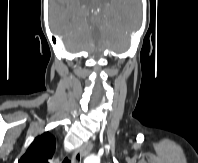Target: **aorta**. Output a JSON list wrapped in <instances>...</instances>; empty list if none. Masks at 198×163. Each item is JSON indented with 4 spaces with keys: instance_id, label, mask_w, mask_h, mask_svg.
<instances>
[{
    "instance_id": "obj_1",
    "label": "aorta",
    "mask_w": 198,
    "mask_h": 163,
    "mask_svg": "<svg viewBox=\"0 0 198 163\" xmlns=\"http://www.w3.org/2000/svg\"><path fill=\"white\" fill-rule=\"evenodd\" d=\"M84 163H100V160L95 156H90L84 160Z\"/></svg>"
}]
</instances>
